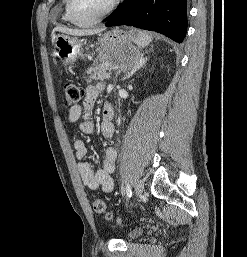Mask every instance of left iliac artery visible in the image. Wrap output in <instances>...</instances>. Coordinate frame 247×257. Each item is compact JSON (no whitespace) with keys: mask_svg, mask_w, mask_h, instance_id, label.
I'll use <instances>...</instances> for the list:
<instances>
[{"mask_svg":"<svg viewBox=\"0 0 247 257\" xmlns=\"http://www.w3.org/2000/svg\"><path fill=\"white\" fill-rule=\"evenodd\" d=\"M126 194H127V198L131 197V187L129 184H127L126 186Z\"/></svg>","mask_w":247,"mask_h":257,"instance_id":"44dca946","label":"left iliac artery"}]
</instances>
